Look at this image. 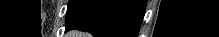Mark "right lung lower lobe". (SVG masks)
<instances>
[{"label":"right lung lower lobe","mask_w":219,"mask_h":37,"mask_svg":"<svg viewBox=\"0 0 219 37\" xmlns=\"http://www.w3.org/2000/svg\"><path fill=\"white\" fill-rule=\"evenodd\" d=\"M146 0H77L68 7L67 29L94 37H137Z\"/></svg>","instance_id":"1"}]
</instances>
